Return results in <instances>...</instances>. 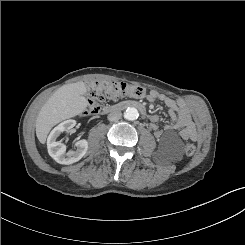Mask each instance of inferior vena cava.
<instances>
[{
	"label": "inferior vena cava",
	"instance_id": "602c4592",
	"mask_svg": "<svg viewBox=\"0 0 245 245\" xmlns=\"http://www.w3.org/2000/svg\"><path fill=\"white\" fill-rule=\"evenodd\" d=\"M122 117V113L120 110H113L108 114L109 121H118Z\"/></svg>",
	"mask_w": 245,
	"mask_h": 245
}]
</instances>
